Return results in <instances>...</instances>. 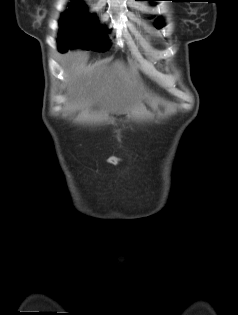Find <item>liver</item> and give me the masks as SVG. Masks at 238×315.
Returning <instances> with one entry per match:
<instances>
[{"instance_id":"1","label":"liver","mask_w":238,"mask_h":315,"mask_svg":"<svg viewBox=\"0 0 238 315\" xmlns=\"http://www.w3.org/2000/svg\"><path fill=\"white\" fill-rule=\"evenodd\" d=\"M88 53H68L62 62L67 104L74 107L97 105L105 115H122L136 110L142 96L132 72L122 61L110 66L104 63L87 65Z\"/></svg>"}]
</instances>
